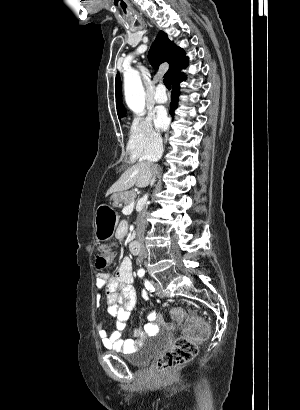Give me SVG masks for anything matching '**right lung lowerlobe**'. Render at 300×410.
I'll return each instance as SVG.
<instances>
[{"mask_svg":"<svg viewBox=\"0 0 300 410\" xmlns=\"http://www.w3.org/2000/svg\"><path fill=\"white\" fill-rule=\"evenodd\" d=\"M186 67V66H185ZM184 67V68H185ZM185 79V74L178 72L172 79L173 93L171 95L170 114L174 117V110L178 107L179 95H180V82Z\"/></svg>","mask_w":300,"mask_h":410,"instance_id":"98d812e1","label":"right lung lower lobe"}]
</instances>
